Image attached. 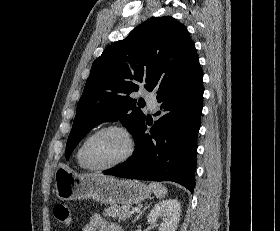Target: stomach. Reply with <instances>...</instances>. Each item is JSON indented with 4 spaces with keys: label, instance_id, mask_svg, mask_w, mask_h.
Here are the masks:
<instances>
[{
    "label": "stomach",
    "instance_id": "0dacf381",
    "mask_svg": "<svg viewBox=\"0 0 280 231\" xmlns=\"http://www.w3.org/2000/svg\"><path fill=\"white\" fill-rule=\"evenodd\" d=\"M55 191L59 199H94L98 203H141L150 197L148 185L137 179L90 177L76 173L70 167H57L54 173Z\"/></svg>",
    "mask_w": 280,
    "mask_h": 231
}]
</instances>
